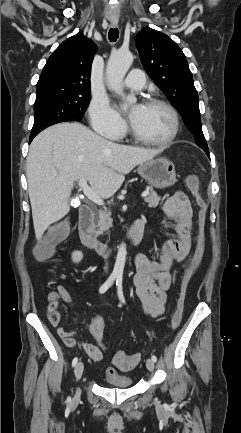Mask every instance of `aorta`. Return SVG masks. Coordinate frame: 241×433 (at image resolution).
<instances>
[{
  "mask_svg": "<svg viewBox=\"0 0 241 433\" xmlns=\"http://www.w3.org/2000/svg\"><path fill=\"white\" fill-rule=\"evenodd\" d=\"M132 62L133 55L129 51H116L111 54L106 67V79L108 87L115 91L125 101L124 109H126L128 105L136 103V97L134 95H125L122 89L123 78L132 65ZM126 255V244L121 243L118 247L113 269L114 275H123Z\"/></svg>",
  "mask_w": 241,
  "mask_h": 433,
  "instance_id": "obj_1",
  "label": "aorta"
}]
</instances>
